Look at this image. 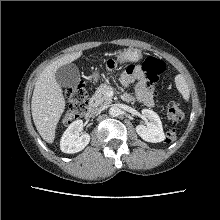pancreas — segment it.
I'll return each mask as SVG.
<instances>
[{"label":"pancreas","instance_id":"cf45deb5","mask_svg":"<svg viewBox=\"0 0 220 220\" xmlns=\"http://www.w3.org/2000/svg\"><path fill=\"white\" fill-rule=\"evenodd\" d=\"M112 90L110 85L101 84L95 94L90 99L92 107L105 108L112 102V99L106 96L108 91Z\"/></svg>","mask_w":220,"mask_h":220}]
</instances>
